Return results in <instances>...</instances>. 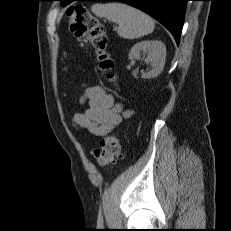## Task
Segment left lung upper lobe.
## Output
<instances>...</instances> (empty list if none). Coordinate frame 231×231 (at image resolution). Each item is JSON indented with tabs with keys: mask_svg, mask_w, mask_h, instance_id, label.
I'll list each match as a JSON object with an SVG mask.
<instances>
[{
	"mask_svg": "<svg viewBox=\"0 0 231 231\" xmlns=\"http://www.w3.org/2000/svg\"><path fill=\"white\" fill-rule=\"evenodd\" d=\"M57 1H61V2H63L64 0H57Z\"/></svg>",
	"mask_w": 231,
	"mask_h": 231,
	"instance_id": "left-lung-upper-lobe-1",
	"label": "left lung upper lobe"
}]
</instances>
